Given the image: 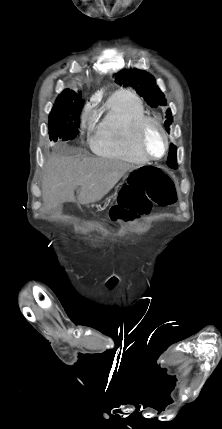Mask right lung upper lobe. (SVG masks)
Returning <instances> with one entry per match:
<instances>
[{
	"label": "right lung upper lobe",
	"mask_w": 222,
	"mask_h": 429,
	"mask_svg": "<svg viewBox=\"0 0 222 429\" xmlns=\"http://www.w3.org/2000/svg\"><path fill=\"white\" fill-rule=\"evenodd\" d=\"M69 92H71V90L70 89H65L61 94H66V93H69ZM60 94V95H61Z\"/></svg>",
	"instance_id": "cb5924a9"
}]
</instances>
